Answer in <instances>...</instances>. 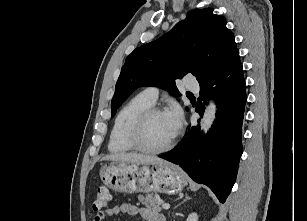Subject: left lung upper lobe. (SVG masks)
Instances as JSON below:
<instances>
[{
  "label": "left lung upper lobe",
  "mask_w": 307,
  "mask_h": 221,
  "mask_svg": "<svg viewBox=\"0 0 307 221\" xmlns=\"http://www.w3.org/2000/svg\"><path fill=\"white\" fill-rule=\"evenodd\" d=\"M238 51L225 18L211 8L191 11L159 39L136 48L125 61L111 102L112 116L138 87L156 86L180 95L175 80L192 73L211 79Z\"/></svg>",
  "instance_id": "5c2ea615"
}]
</instances>
